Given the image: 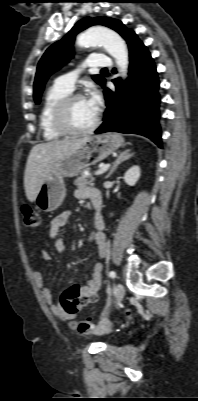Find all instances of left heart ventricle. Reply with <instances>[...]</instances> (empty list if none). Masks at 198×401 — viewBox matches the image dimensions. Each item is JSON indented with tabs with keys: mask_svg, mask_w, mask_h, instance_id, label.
Listing matches in <instances>:
<instances>
[{
	"mask_svg": "<svg viewBox=\"0 0 198 401\" xmlns=\"http://www.w3.org/2000/svg\"><path fill=\"white\" fill-rule=\"evenodd\" d=\"M97 115V110L90 104L88 98L74 101L68 113L70 125L75 129H84L90 126Z\"/></svg>",
	"mask_w": 198,
	"mask_h": 401,
	"instance_id": "left-heart-ventricle-1",
	"label": "left heart ventricle"
}]
</instances>
